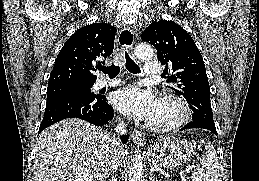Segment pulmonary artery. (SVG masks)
<instances>
[{
	"label": "pulmonary artery",
	"mask_w": 259,
	"mask_h": 181,
	"mask_svg": "<svg viewBox=\"0 0 259 181\" xmlns=\"http://www.w3.org/2000/svg\"><path fill=\"white\" fill-rule=\"evenodd\" d=\"M161 67L157 63L149 62L145 64L144 67V75L148 77L156 76L158 73H160ZM119 80H103L99 83L100 87H110L115 86L119 84Z\"/></svg>",
	"instance_id": "e3ab8cb5"
}]
</instances>
